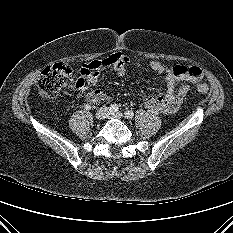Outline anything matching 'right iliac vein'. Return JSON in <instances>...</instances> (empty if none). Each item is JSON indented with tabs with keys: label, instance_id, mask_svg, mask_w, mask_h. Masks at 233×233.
I'll return each instance as SVG.
<instances>
[{
	"label": "right iliac vein",
	"instance_id": "obj_1",
	"mask_svg": "<svg viewBox=\"0 0 233 233\" xmlns=\"http://www.w3.org/2000/svg\"><path fill=\"white\" fill-rule=\"evenodd\" d=\"M108 114H109L108 109L106 107H102L96 112V118L98 120H103L106 117H108Z\"/></svg>",
	"mask_w": 233,
	"mask_h": 233
}]
</instances>
